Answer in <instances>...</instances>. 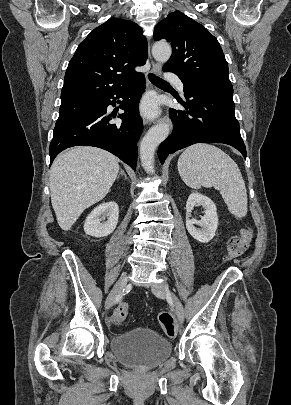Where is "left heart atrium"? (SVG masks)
<instances>
[{
	"mask_svg": "<svg viewBox=\"0 0 291 405\" xmlns=\"http://www.w3.org/2000/svg\"><path fill=\"white\" fill-rule=\"evenodd\" d=\"M157 105L154 99H147L143 106L142 110L147 116H153L156 113Z\"/></svg>",
	"mask_w": 291,
	"mask_h": 405,
	"instance_id": "1",
	"label": "left heart atrium"
}]
</instances>
